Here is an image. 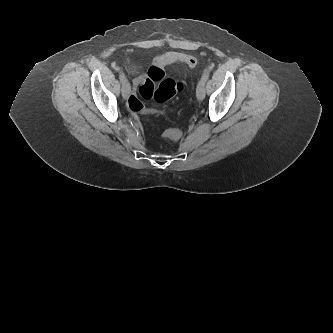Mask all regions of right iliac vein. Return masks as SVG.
Here are the masks:
<instances>
[{
  "instance_id": "right-iliac-vein-1",
  "label": "right iliac vein",
  "mask_w": 333,
  "mask_h": 333,
  "mask_svg": "<svg viewBox=\"0 0 333 333\" xmlns=\"http://www.w3.org/2000/svg\"><path fill=\"white\" fill-rule=\"evenodd\" d=\"M130 92V85L128 83L123 84L122 86V96L123 98H127Z\"/></svg>"
}]
</instances>
